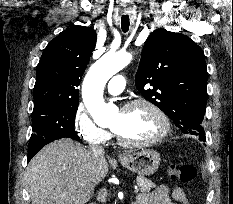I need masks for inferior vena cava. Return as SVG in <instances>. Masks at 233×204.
<instances>
[{
  "mask_svg": "<svg viewBox=\"0 0 233 204\" xmlns=\"http://www.w3.org/2000/svg\"><path fill=\"white\" fill-rule=\"evenodd\" d=\"M90 149L95 158L102 157L104 154V148L100 145L99 141L91 143Z\"/></svg>",
  "mask_w": 233,
  "mask_h": 204,
  "instance_id": "inferior-vena-cava-1",
  "label": "inferior vena cava"
}]
</instances>
